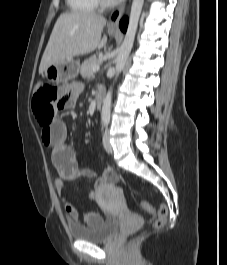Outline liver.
<instances>
[{
	"instance_id": "liver-1",
	"label": "liver",
	"mask_w": 227,
	"mask_h": 265,
	"mask_svg": "<svg viewBox=\"0 0 227 265\" xmlns=\"http://www.w3.org/2000/svg\"><path fill=\"white\" fill-rule=\"evenodd\" d=\"M106 19L87 12L62 13L52 30L39 66V74L53 64L102 49L107 37L101 39Z\"/></svg>"
}]
</instances>
